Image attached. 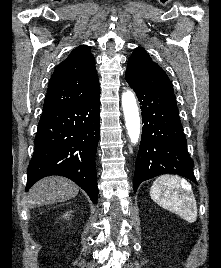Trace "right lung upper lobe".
Wrapping results in <instances>:
<instances>
[{
    "label": "right lung upper lobe",
    "mask_w": 221,
    "mask_h": 268,
    "mask_svg": "<svg viewBox=\"0 0 221 268\" xmlns=\"http://www.w3.org/2000/svg\"><path fill=\"white\" fill-rule=\"evenodd\" d=\"M99 92L95 59L88 46L80 45L52 74L43 111L77 104Z\"/></svg>",
    "instance_id": "right-lung-upper-lobe-1"
}]
</instances>
